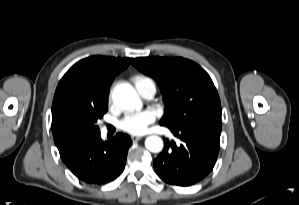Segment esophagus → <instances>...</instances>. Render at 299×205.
<instances>
[{
  "instance_id": "obj_1",
  "label": "esophagus",
  "mask_w": 299,
  "mask_h": 205,
  "mask_svg": "<svg viewBox=\"0 0 299 205\" xmlns=\"http://www.w3.org/2000/svg\"><path fill=\"white\" fill-rule=\"evenodd\" d=\"M142 138H143L142 136H135V135L131 136L132 141H139Z\"/></svg>"
}]
</instances>
